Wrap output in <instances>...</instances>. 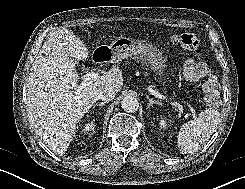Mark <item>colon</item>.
I'll use <instances>...</instances> for the list:
<instances>
[{"instance_id": "obj_1", "label": "colon", "mask_w": 245, "mask_h": 189, "mask_svg": "<svg viewBox=\"0 0 245 189\" xmlns=\"http://www.w3.org/2000/svg\"><path fill=\"white\" fill-rule=\"evenodd\" d=\"M171 42L189 51H195L200 47L199 40L189 33L174 35L171 38ZM183 76L189 82L204 80L205 94L202 98V103L205 107L215 108L220 105L219 82L203 57L187 60L183 67Z\"/></svg>"}]
</instances>
